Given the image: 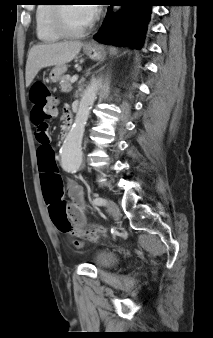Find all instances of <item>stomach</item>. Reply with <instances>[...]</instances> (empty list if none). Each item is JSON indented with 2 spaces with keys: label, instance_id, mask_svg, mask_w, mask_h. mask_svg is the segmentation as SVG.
I'll return each instance as SVG.
<instances>
[{
  "label": "stomach",
  "instance_id": "stomach-1",
  "mask_svg": "<svg viewBox=\"0 0 213 338\" xmlns=\"http://www.w3.org/2000/svg\"><path fill=\"white\" fill-rule=\"evenodd\" d=\"M83 51L91 59H99L103 55V49L98 45H85ZM66 70V65L55 66L50 72V81L52 83L58 82L62 78V75L66 72Z\"/></svg>",
  "mask_w": 213,
  "mask_h": 338
}]
</instances>
